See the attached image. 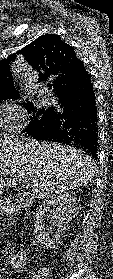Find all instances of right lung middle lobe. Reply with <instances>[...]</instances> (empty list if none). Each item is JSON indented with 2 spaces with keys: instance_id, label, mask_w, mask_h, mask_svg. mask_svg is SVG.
<instances>
[{
  "instance_id": "right-lung-middle-lobe-1",
  "label": "right lung middle lobe",
  "mask_w": 113,
  "mask_h": 279,
  "mask_svg": "<svg viewBox=\"0 0 113 279\" xmlns=\"http://www.w3.org/2000/svg\"><path fill=\"white\" fill-rule=\"evenodd\" d=\"M28 106V113L34 112L33 116L30 118V122L27 126V128L24 131L30 130L32 128H35L39 125H43L47 123L54 115L55 111L54 109L48 108V109H40L36 110L34 105L30 103Z\"/></svg>"
}]
</instances>
